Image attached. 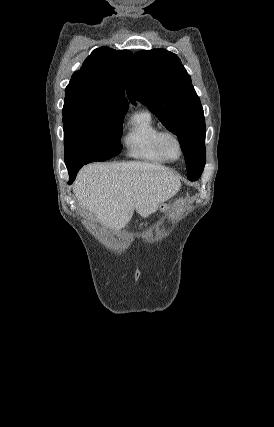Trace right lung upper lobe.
I'll return each instance as SVG.
<instances>
[{
    "mask_svg": "<svg viewBox=\"0 0 274 427\" xmlns=\"http://www.w3.org/2000/svg\"><path fill=\"white\" fill-rule=\"evenodd\" d=\"M133 53L109 47L95 49L66 87L63 109L86 104L128 106L125 80Z\"/></svg>",
    "mask_w": 274,
    "mask_h": 427,
    "instance_id": "right-lung-upper-lobe-1",
    "label": "right lung upper lobe"
}]
</instances>
